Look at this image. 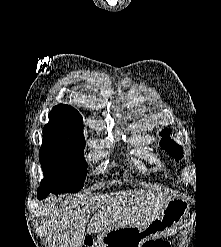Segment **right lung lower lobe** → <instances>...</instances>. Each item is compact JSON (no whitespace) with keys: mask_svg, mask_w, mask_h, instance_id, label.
Instances as JSON below:
<instances>
[{"mask_svg":"<svg viewBox=\"0 0 221 247\" xmlns=\"http://www.w3.org/2000/svg\"><path fill=\"white\" fill-rule=\"evenodd\" d=\"M51 192L48 190H43V189H38V193H37V198L39 200L44 199L45 197H47V195H49Z\"/></svg>","mask_w":221,"mask_h":247,"instance_id":"right-lung-lower-lobe-1","label":"right lung lower lobe"}]
</instances>
